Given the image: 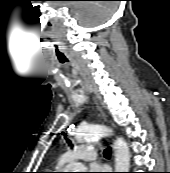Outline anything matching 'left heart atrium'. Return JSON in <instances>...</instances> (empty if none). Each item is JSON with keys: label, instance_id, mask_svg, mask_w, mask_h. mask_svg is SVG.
Segmentation results:
<instances>
[{"label": "left heart atrium", "instance_id": "left-heart-atrium-1", "mask_svg": "<svg viewBox=\"0 0 170 173\" xmlns=\"http://www.w3.org/2000/svg\"><path fill=\"white\" fill-rule=\"evenodd\" d=\"M91 173H104L106 168L99 164H93L89 167Z\"/></svg>", "mask_w": 170, "mask_h": 173}]
</instances>
